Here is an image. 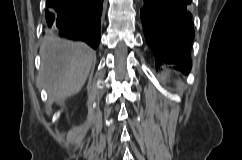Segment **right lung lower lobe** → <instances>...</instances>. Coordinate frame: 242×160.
<instances>
[{"label": "right lung lower lobe", "mask_w": 242, "mask_h": 160, "mask_svg": "<svg viewBox=\"0 0 242 160\" xmlns=\"http://www.w3.org/2000/svg\"><path fill=\"white\" fill-rule=\"evenodd\" d=\"M102 7L103 0H47L45 32L78 39L96 49Z\"/></svg>", "instance_id": "98d812e1"}]
</instances>
